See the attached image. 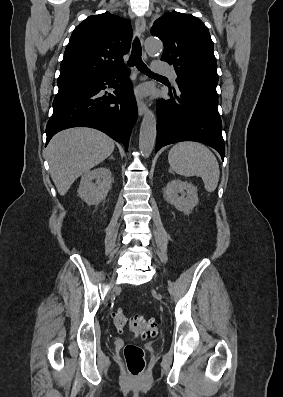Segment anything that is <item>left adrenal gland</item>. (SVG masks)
<instances>
[{"instance_id":"obj_1","label":"left adrenal gland","mask_w":283,"mask_h":397,"mask_svg":"<svg viewBox=\"0 0 283 397\" xmlns=\"http://www.w3.org/2000/svg\"><path fill=\"white\" fill-rule=\"evenodd\" d=\"M169 173H172V170H171V169L169 170Z\"/></svg>"}]
</instances>
